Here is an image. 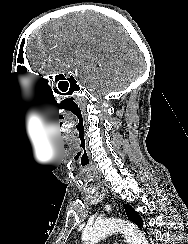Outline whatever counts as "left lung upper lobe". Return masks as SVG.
<instances>
[{
    "label": "left lung upper lobe",
    "instance_id": "obj_1",
    "mask_svg": "<svg viewBox=\"0 0 188 244\" xmlns=\"http://www.w3.org/2000/svg\"><path fill=\"white\" fill-rule=\"evenodd\" d=\"M124 209L128 219L138 224V222L141 220L138 212H136L129 204H125Z\"/></svg>",
    "mask_w": 188,
    "mask_h": 244
}]
</instances>
